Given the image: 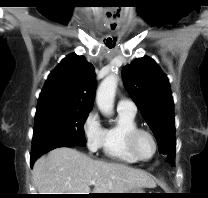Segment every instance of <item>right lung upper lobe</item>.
<instances>
[{
    "instance_id": "cb5924a9",
    "label": "right lung upper lobe",
    "mask_w": 208,
    "mask_h": 198,
    "mask_svg": "<svg viewBox=\"0 0 208 198\" xmlns=\"http://www.w3.org/2000/svg\"><path fill=\"white\" fill-rule=\"evenodd\" d=\"M95 95V72L84 56H66L50 73L40 93L37 109L68 106L91 110Z\"/></svg>"
}]
</instances>
